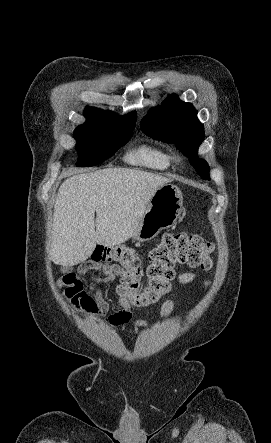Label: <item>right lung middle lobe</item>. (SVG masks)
Wrapping results in <instances>:
<instances>
[{
	"instance_id": "obj_1",
	"label": "right lung middle lobe",
	"mask_w": 271,
	"mask_h": 443,
	"mask_svg": "<svg viewBox=\"0 0 271 443\" xmlns=\"http://www.w3.org/2000/svg\"><path fill=\"white\" fill-rule=\"evenodd\" d=\"M136 120L87 119L76 128L79 157L76 166H95L112 156L130 139Z\"/></svg>"
}]
</instances>
